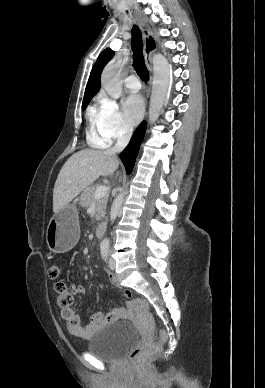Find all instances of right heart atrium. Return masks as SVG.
I'll return each instance as SVG.
<instances>
[{"mask_svg": "<svg viewBox=\"0 0 265 388\" xmlns=\"http://www.w3.org/2000/svg\"><path fill=\"white\" fill-rule=\"evenodd\" d=\"M93 115L100 133L109 141L115 138H124L132 131V127L124 119L118 103L107 96H101L96 100Z\"/></svg>", "mask_w": 265, "mask_h": 388, "instance_id": "obj_1", "label": "right heart atrium"}]
</instances>
